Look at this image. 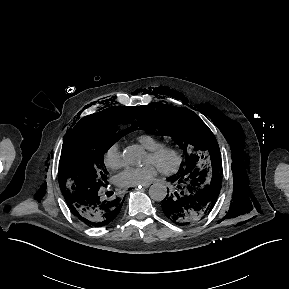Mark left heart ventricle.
Here are the masks:
<instances>
[{
  "instance_id": "1",
  "label": "left heart ventricle",
  "mask_w": 289,
  "mask_h": 289,
  "mask_svg": "<svg viewBox=\"0 0 289 289\" xmlns=\"http://www.w3.org/2000/svg\"><path fill=\"white\" fill-rule=\"evenodd\" d=\"M165 162H169V159H166ZM145 163H152L155 166H157V164L155 163V161L150 157V155L147 153L146 155V159H145Z\"/></svg>"
}]
</instances>
